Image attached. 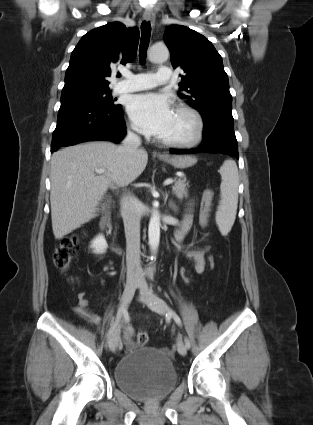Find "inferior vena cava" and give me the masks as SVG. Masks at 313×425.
Instances as JSON below:
<instances>
[{
    "mask_svg": "<svg viewBox=\"0 0 313 425\" xmlns=\"http://www.w3.org/2000/svg\"><path fill=\"white\" fill-rule=\"evenodd\" d=\"M141 138L128 131L122 141L120 151L128 155H135L139 151ZM121 214L126 236V265L127 283L144 282L141 273L140 261V213L139 201L134 196H125L121 201Z\"/></svg>",
    "mask_w": 313,
    "mask_h": 425,
    "instance_id": "obj_1",
    "label": "inferior vena cava"
}]
</instances>
